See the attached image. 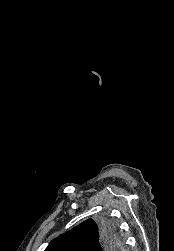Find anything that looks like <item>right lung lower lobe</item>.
Segmentation results:
<instances>
[{"label": "right lung lower lobe", "instance_id": "98d812e1", "mask_svg": "<svg viewBox=\"0 0 174 251\" xmlns=\"http://www.w3.org/2000/svg\"><path fill=\"white\" fill-rule=\"evenodd\" d=\"M100 241L93 251H116L112 249V245L118 243L120 245L116 229L108 222L100 223Z\"/></svg>", "mask_w": 174, "mask_h": 251}]
</instances>
